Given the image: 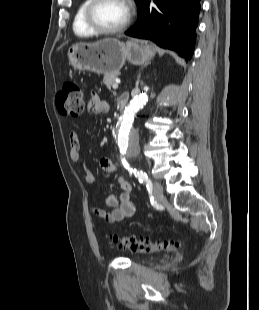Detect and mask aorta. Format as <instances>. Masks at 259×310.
Returning <instances> with one entry per match:
<instances>
[{
  "instance_id": "762f6f07",
  "label": "aorta",
  "mask_w": 259,
  "mask_h": 310,
  "mask_svg": "<svg viewBox=\"0 0 259 310\" xmlns=\"http://www.w3.org/2000/svg\"><path fill=\"white\" fill-rule=\"evenodd\" d=\"M147 100L146 93L134 97L119 118L118 149L121 154L127 157H134L139 153V134L133 127V121L136 113L145 106Z\"/></svg>"
}]
</instances>
